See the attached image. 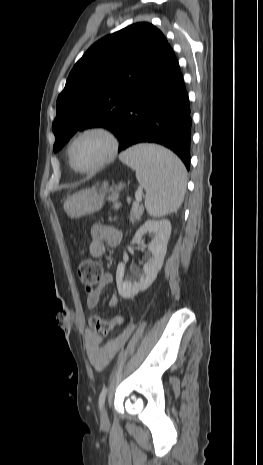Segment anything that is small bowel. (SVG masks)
Here are the masks:
<instances>
[{
  "instance_id": "obj_1",
  "label": "small bowel",
  "mask_w": 263,
  "mask_h": 465,
  "mask_svg": "<svg viewBox=\"0 0 263 465\" xmlns=\"http://www.w3.org/2000/svg\"><path fill=\"white\" fill-rule=\"evenodd\" d=\"M90 253L93 257L99 258L106 253V248L114 247L121 240V233L118 229L103 224L96 223L91 227ZM112 281V276L106 273L102 276L99 286L95 291L87 295L86 303L90 310L95 309L100 301L103 288ZM120 303L118 295H112L109 300L110 307H117ZM129 328V329H128ZM127 329L115 338L105 341L103 336L93 330L85 331V345L87 355L92 366L97 370H103L114 358L121 346L125 343L130 334L134 333V325H129Z\"/></svg>"
}]
</instances>
